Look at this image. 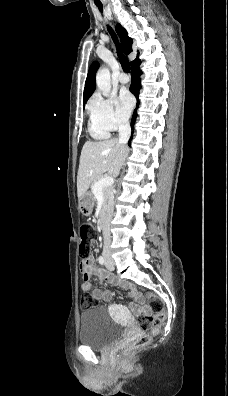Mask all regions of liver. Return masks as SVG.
Instances as JSON below:
<instances>
[{"label":"liver","instance_id":"obj_1","mask_svg":"<svg viewBox=\"0 0 228 396\" xmlns=\"http://www.w3.org/2000/svg\"><path fill=\"white\" fill-rule=\"evenodd\" d=\"M127 148L118 139L87 141L81 151L77 175V195L80 198L90 184L108 172L111 177L119 174L126 158Z\"/></svg>","mask_w":228,"mask_h":396}]
</instances>
